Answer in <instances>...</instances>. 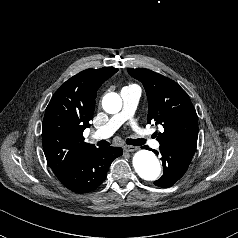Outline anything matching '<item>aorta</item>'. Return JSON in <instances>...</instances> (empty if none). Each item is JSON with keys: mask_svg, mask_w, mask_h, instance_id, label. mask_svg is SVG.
I'll list each match as a JSON object with an SVG mask.
<instances>
[{"mask_svg": "<svg viewBox=\"0 0 238 238\" xmlns=\"http://www.w3.org/2000/svg\"><path fill=\"white\" fill-rule=\"evenodd\" d=\"M102 107L109 114L118 113L122 108L121 97L114 92L103 97ZM133 166L138 175L146 181H154L161 175V166L157 157L148 150H139L133 157Z\"/></svg>", "mask_w": 238, "mask_h": 238, "instance_id": "762f6f07", "label": "aorta"}]
</instances>
